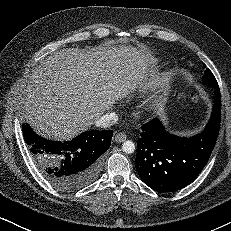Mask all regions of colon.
<instances>
[{"label":"colon","instance_id":"obj_1","mask_svg":"<svg viewBox=\"0 0 231 231\" xmlns=\"http://www.w3.org/2000/svg\"><path fill=\"white\" fill-rule=\"evenodd\" d=\"M178 99L182 102V106L184 109H191L199 102V98L197 95L187 93L185 91H181L178 93Z\"/></svg>","mask_w":231,"mask_h":231}]
</instances>
